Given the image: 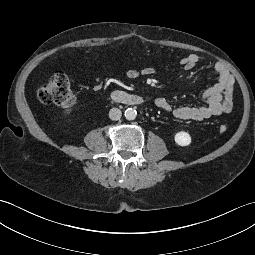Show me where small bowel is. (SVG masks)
<instances>
[{"label":"small bowel","mask_w":255,"mask_h":255,"mask_svg":"<svg viewBox=\"0 0 255 255\" xmlns=\"http://www.w3.org/2000/svg\"><path fill=\"white\" fill-rule=\"evenodd\" d=\"M198 63L199 56L196 54L186 55L179 61V65L185 70L195 68ZM214 70L218 75V82L203 93L205 105L173 107L164 97L156 98L155 105L181 120L203 121L211 117L229 114L233 109L234 77L221 62L215 63ZM155 72L153 67L133 69L126 73V78L132 80L140 76H151Z\"/></svg>","instance_id":"small-bowel-1"}]
</instances>
